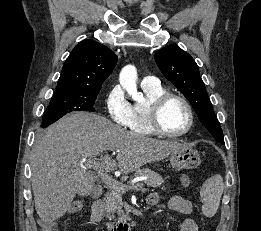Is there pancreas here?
<instances>
[{"instance_id": "cf45deb5", "label": "pancreas", "mask_w": 261, "mask_h": 231, "mask_svg": "<svg viewBox=\"0 0 261 231\" xmlns=\"http://www.w3.org/2000/svg\"><path fill=\"white\" fill-rule=\"evenodd\" d=\"M139 176H147V179L144 181L147 186L150 187H160L164 180L163 178L156 173L155 171L148 169V168H142L138 169L133 177H139ZM131 177V178H133ZM123 186L129 188L131 187L130 184L125 185L121 183ZM123 191L112 189L107 195L105 200V209L107 213V218L109 220L114 221H125L127 219L126 214L123 211V201H122V194Z\"/></svg>"}]
</instances>
